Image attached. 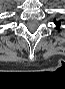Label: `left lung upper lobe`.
Returning <instances> with one entry per match:
<instances>
[{"label":"left lung upper lobe","mask_w":65,"mask_h":89,"mask_svg":"<svg viewBox=\"0 0 65 89\" xmlns=\"http://www.w3.org/2000/svg\"><path fill=\"white\" fill-rule=\"evenodd\" d=\"M55 21V24L57 25V29L59 28V26H60V22H58V21H56V20H54Z\"/></svg>","instance_id":"left-lung-upper-lobe-1"}]
</instances>
